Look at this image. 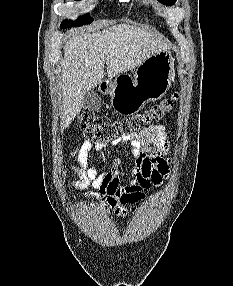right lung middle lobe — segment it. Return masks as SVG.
<instances>
[{
  "mask_svg": "<svg viewBox=\"0 0 233 286\" xmlns=\"http://www.w3.org/2000/svg\"><path fill=\"white\" fill-rule=\"evenodd\" d=\"M93 21L91 17L88 16V14L79 17L74 23H71L69 20H65L62 22L60 28H69V27H76V26H81L84 24H90Z\"/></svg>",
  "mask_w": 233,
  "mask_h": 286,
  "instance_id": "1",
  "label": "right lung middle lobe"
}]
</instances>
